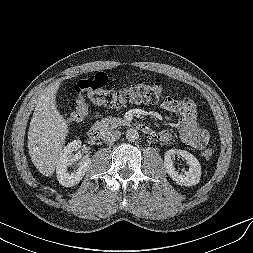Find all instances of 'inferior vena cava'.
Wrapping results in <instances>:
<instances>
[{"mask_svg":"<svg viewBox=\"0 0 253 253\" xmlns=\"http://www.w3.org/2000/svg\"><path fill=\"white\" fill-rule=\"evenodd\" d=\"M121 136V132L120 131H108L105 133V135L103 136L104 141L108 142V143H113L116 140H118Z\"/></svg>","mask_w":253,"mask_h":253,"instance_id":"inferior-vena-cava-1","label":"inferior vena cava"}]
</instances>
